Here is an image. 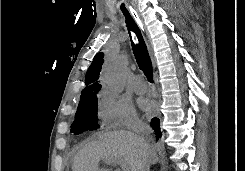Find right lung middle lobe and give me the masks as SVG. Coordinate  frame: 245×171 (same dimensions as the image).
Instances as JSON below:
<instances>
[{"label":"right lung middle lobe","instance_id":"right-lung-middle-lobe-1","mask_svg":"<svg viewBox=\"0 0 245 171\" xmlns=\"http://www.w3.org/2000/svg\"><path fill=\"white\" fill-rule=\"evenodd\" d=\"M97 111L96 95L80 99L71 132L78 135L88 130H96L98 128Z\"/></svg>","mask_w":245,"mask_h":171}]
</instances>
